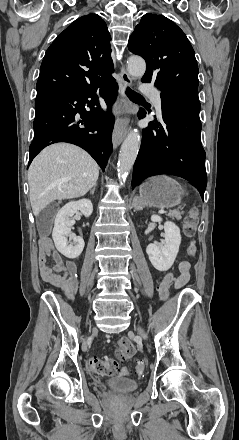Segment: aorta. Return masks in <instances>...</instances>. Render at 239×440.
<instances>
[{
  "label": "aorta",
  "instance_id": "762f6f07",
  "mask_svg": "<svg viewBox=\"0 0 239 440\" xmlns=\"http://www.w3.org/2000/svg\"><path fill=\"white\" fill-rule=\"evenodd\" d=\"M127 70L130 76L142 78L146 72V64L143 58L131 56L127 62ZM141 144L140 134L138 132H129L125 138L118 158V174L120 178H127L139 152Z\"/></svg>",
  "mask_w": 239,
  "mask_h": 440
}]
</instances>
